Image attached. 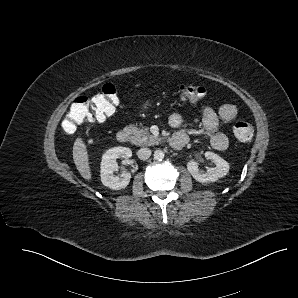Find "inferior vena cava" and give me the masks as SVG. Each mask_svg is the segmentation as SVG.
Returning a JSON list of instances; mask_svg holds the SVG:
<instances>
[{
	"instance_id": "obj_1",
	"label": "inferior vena cava",
	"mask_w": 298,
	"mask_h": 298,
	"mask_svg": "<svg viewBox=\"0 0 298 298\" xmlns=\"http://www.w3.org/2000/svg\"><path fill=\"white\" fill-rule=\"evenodd\" d=\"M138 158L146 160L151 156V150L149 148H141L137 152Z\"/></svg>"
}]
</instances>
